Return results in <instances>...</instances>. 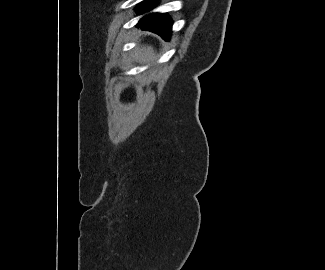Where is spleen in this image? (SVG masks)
<instances>
[{
	"mask_svg": "<svg viewBox=\"0 0 325 270\" xmlns=\"http://www.w3.org/2000/svg\"><path fill=\"white\" fill-rule=\"evenodd\" d=\"M136 51L139 53L140 61L148 62L153 60L155 57L153 56V48L151 46H144L142 48H136Z\"/></svg>",
	"mask_w": 325,
	"mask_h": 270,
	"instance_id": "3e777b00",
	"label": "spleen"
}]
</instances>
